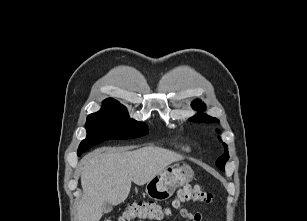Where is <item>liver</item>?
Segmentation results:
<instances>
[{
    "instance_id": "1",
    "label": "liver",
    "mask_w": 307,
    "mask_h": 221,
    "mask_svg": "<svg viewBox=\"0 0 307 221\" xmlns=\"http://www.w3.org/2000/svg\"><path fill=\"white\" fill-rule=\"evenodd\" d=\"M183 157L163 148L148 146L134 151L99 149L83 158V195L78 221H99L103 204L118 205L130 193L131 182L144 185L164 168Z\"/></svg>"
}]
</instances>
